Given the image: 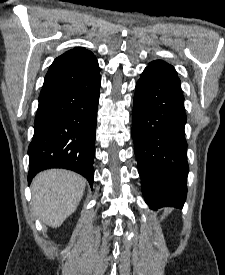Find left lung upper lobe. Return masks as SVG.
Masks as SVG:
<instances>
[{
    "mask_svg": "<svg viewBox=\"0 0 225 275\" xmlns=\"http://www.w3.org/2000/svg\"><path fill=\"white\" fill-rule=\"evenodd\" d=\"M146 69L151 70L159 74L160 76L169 79L179 85L181 84L174 67L162 60L152 61L151 63H149Z\"/></svg>",
    "mask_w": 225,
    "mask_h": 275,
    "instance_id": "left-lung-upper-lobe-1",
    "label": "left lung upper lobe"
}]
</instances>
